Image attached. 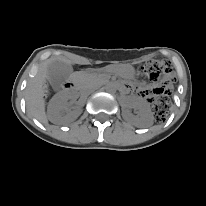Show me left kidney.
Masks as SVG:
<instances>
[{"mask_svg": "<svg viewBox=\"0 0 206 206\" xmlns=\"http://www.w3.org/2000/svg\"><path fill=\"white\" fill-rule=\"evenodd\" d=\"M130 108L138 109V115L135 116L130 112ZM125 120L132 122L135 126L140 128H147L152 126L153 118L150 106L146 100L139 97H129L126 101V109L123 112Z\"/></svg>", "mask_w": 206, "mask_h": 206, "instance_id": "1", "label": "left kidney"}]
</instances>
